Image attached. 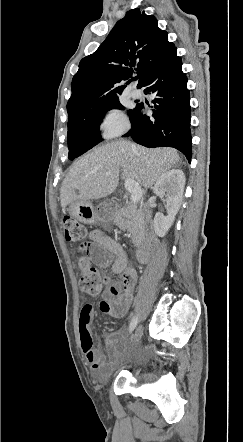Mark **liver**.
Segmentation results:
<instances>
[{
	"instance_id": "6515ba94",
	"label": "liver",
	"mask_w": 243,
	"mask_h": 442,
	"mask_svg": "<svg viewBox=\"0 0 243 442\" xmlns=\"http://www.w3.org/2000/svg\"><path fill=\"white\" fill-rule=\"evenodd\" d=\"M180 160L172 148L149 149L130 141L120 140L101 145L76 161L65 177L60 201L63 209L75 201L105 198L112 194L123 179H133L150 188Z\"/></svg>"
}]
</instances>
